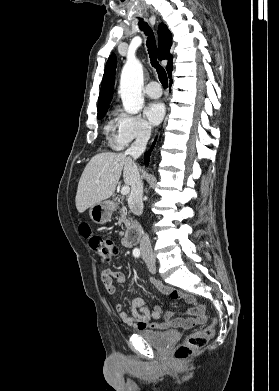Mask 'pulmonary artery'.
Returning <instances> with one entry per match:
<instances>
[{
	"instance_id": "1",
	"label": "pulmonary artery",
	"mask_w": 279,
	"mask_h": 391,
	"mask_svg": "<svg viewBox=\"0 0 279 391\" xmlns=\"http://www.w3.org/2000/svg\"><path fill=\"white\" fill-rule=\"evenodd\" d=\"M144 93L151 98H158L162 95V90L157 82L151 81L146 85Z\"/></svg>"
}]
</instances>
